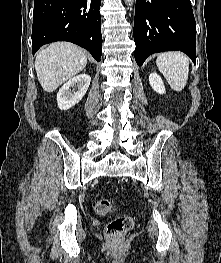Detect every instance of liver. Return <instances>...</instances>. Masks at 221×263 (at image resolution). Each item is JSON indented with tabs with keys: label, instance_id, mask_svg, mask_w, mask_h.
<instances>
[{
	"label": "liver",
	"instance_id": "obj_1",
	"mask_svg": "<svg viewBox=\"0 0 221 263\" xmlns=\"http://www.w3.org/2000/svg\"><path fill=\"white\" fill-rule=\"evenodd\" d=\"M86 64L87 57L81 48L68 42H56L38 52L35 70L43 90L53 92L80 73Z\"/></svg>",
	"mask_w": 221,
	"mask_h": 263
}]
</instances>
